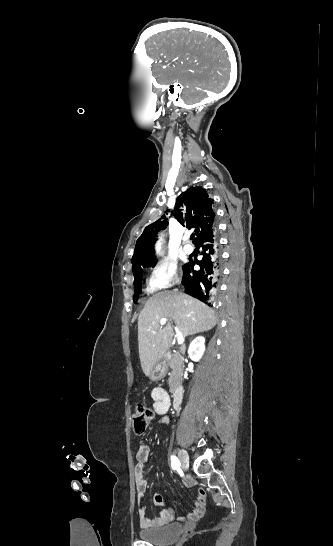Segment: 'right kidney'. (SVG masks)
Here are the masks:
<instances>
[{
	"mask_svg": "<svg viewBox=\"0 0 333 546\" xmlns=\"http://www.w3.org/2000/svg\"><path fill=\"white\" fill-rule=\"evenodd\" d=\"M205 351V338L203 336L197 337L189 346L188 355L191 360L198 362Z\"/></svg>",
	"mask_w": 333,
	"mask_h": 546,
	"instance_id": "ca27d5eb",
	"label": "right kidney"
}]
</instances>
